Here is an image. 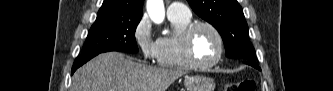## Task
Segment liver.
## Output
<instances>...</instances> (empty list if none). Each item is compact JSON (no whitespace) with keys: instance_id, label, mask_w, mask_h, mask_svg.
<instances>
[{"instance_id":"1","label":"liver","mask_w":333,"mask_h":91,"mask_svg":"<svg viewBox=\"0 0 333 91\" xmlns=\"http://www.w3.org/2000/svg\"><path fill=\"white\" fill-rule=\"evenodd\" d=\"M184 74L135 62L120 52H107L74 73L71 91H166Z\"/></svg>"}]
</instances>
